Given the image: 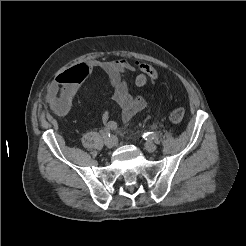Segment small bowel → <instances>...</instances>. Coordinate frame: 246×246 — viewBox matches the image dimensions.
<instances>
[{"mask_svg":"<svg viewBox=\"0 0 246 246\" xmlns=\"http://www.w3.org/2000/svg\"><path fill=\"white\" fill-rule=\"evenodd\" d=\"M95 70H100L107 76L113 88L112 98L119 105L124 122H129L146 107L145 98L132 95L124 78L125 73L135 71V67L129 61L125 59L90 60L60 73L51 84L46 95V102L56 116L64 117L69 113L81 83ZM102 121L108 130L117 128V123L109 118L107 111L103 113Z\"/></svg>","mask_w":246,"mask_h":246,"instance_id":"small-bowel-1","label":"small bowel"}]
</instances>
